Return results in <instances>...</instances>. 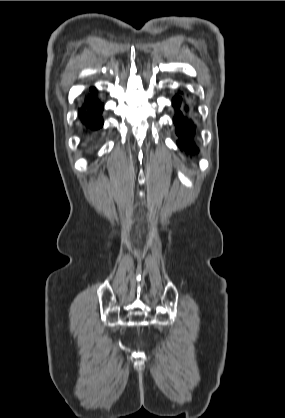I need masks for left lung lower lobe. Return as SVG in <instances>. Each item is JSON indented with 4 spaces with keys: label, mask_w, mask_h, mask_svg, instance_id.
Wrapping results in <instances>:
<instances>
[{
    "label": "left lung lower lobe",
    "mask_w": 285,
    "mask_h": 418,
    "mask_svg": "<svg viewBox=\"0 0 285 418\" xmlns=\"http://www.w3.org/2000/svg\"><path fill=\"white\" fill-rule=\"evenodd\" d=\"M172 103L175 108L173 122L176 126V135L178 136L177 144L179 148L187 153H198L199 149L193 141L195 126L189 116L191 107L186 96L184 97L182 92L179 95L176 94Z\"/></svg>",
    "instance_id": "left-lung-lower-lobe-1"
}]
</instances>
